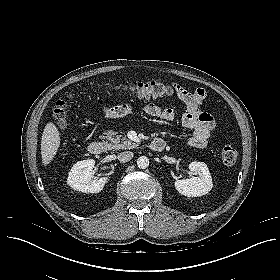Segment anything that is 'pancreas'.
Here are the masks:
<instances>
[{
	"instance_id": "obj_1",
	"label": "pancreas",
	"mask_w": 280,
	"mask_h": 280,
	"mask_svg": "<svg viewBox=\"0 0 280 280\" xmlns=\"http://www.w3.org/2000/svg\"><path fill=\"white\" fill-rule=\"evenodd\" d=\"M118 133L112 130L104 132L103 138H106L109 143H106V146L109 150H120V149H133L136 147V143H133L131 140L117 135Z\"/></svg>"
}]
</instances>
